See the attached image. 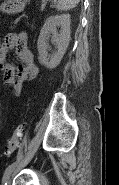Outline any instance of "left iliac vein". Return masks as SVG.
Segmentation results:
<instances>
[{
  "label": "left iliac vein",
  "instance_id": "left-iliac-vein-1",
  "mask_svg": "<svg viewBox=\"0 0 119 185\" xmlns=\"http://www.w3.org/2000/svg\"><path fill=\"white\" fill-rule=\"evenodd\" d=\"M10 182H11V175L9 174V176L6 179L7 185H10Z\"/></svg>",
  "mask_w": 119,
  "mask_h": 185
}]
</instances>
